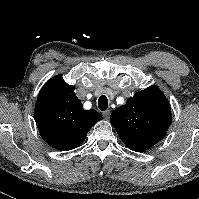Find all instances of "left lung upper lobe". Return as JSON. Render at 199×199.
<instances>
[{
    "instance_id": "left-lung-upper-lobe-1",
    "label": "left lung upper lobe",
    "mask_w": 199,
    "mask_h": 199,
    "mask_svg": "<svg viewBox=\"0 0 199 199\" xmlns=\"http://www.w3.org/2000/svg\"><path fill=\"white\" fill-rule=\"evenodd\" d=\"M171 117L167 98L153 85L135 93L125 105L116 108L110 122L119 136L155 145L166 135Z\"/></svg>"
}]
</instances>
